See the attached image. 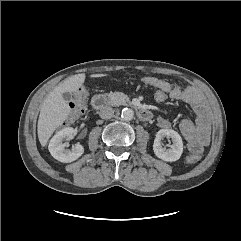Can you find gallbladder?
I'll return each mask as SVG.
<instances>
[{"label":"gallbladder","instance_id":"obj_1","mask_svg":"<svg viewBox=\"0 0 241 241\" xmlns=\"http://www.w3.org/2000/svg\"><path fill=\"white\" fill-rule=\"evenodd\" d=\"M63 98L65 101L70 102L72 100V94L70 92H64Z\"/></svg>","mask_w":241,"mask_h":241}]
</instances>
